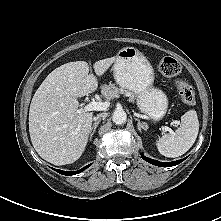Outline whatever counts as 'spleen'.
Here are the masks:
<instances>
[{
  "label": "spleen",
  "mask_w": 221,
  "mask_h": 221,
  "mask_svg": "<svg viewBox=\"0 0 221 221\" xmlns=\"http://www.w3.org/2000/svg\"><path fill=\"white\" fill-rule=\"evenodd\" d=\"M199 131V121L195 110L181 116L180 127L164 134L156 141L160 154L175 158L185 154L194 144Z\"/></svg>",
  "instance_id": "obj_1"
}]
</instances>
